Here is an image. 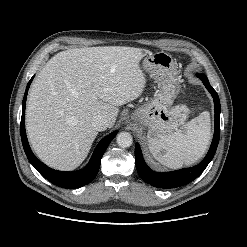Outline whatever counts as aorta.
<instances>
[{"label":"aorta","instance_id":"762f6f07","mask_svg":"<svg viewBox=\"0 0 247 247\" xmlns=\"http://www.w3.org/2000/svg\"><path fill=\"white\" fill-rule=\"evenodd\" d=\"M118 146L122 148L130 147L133 143L132 135L129 132H121L116 137Z\"/></svg>","mask_w":247,"mask_h":247}]
</instances>
